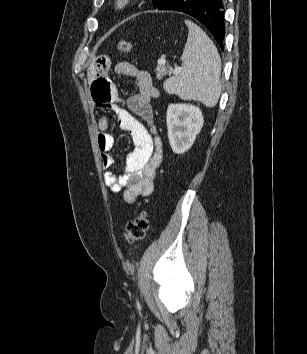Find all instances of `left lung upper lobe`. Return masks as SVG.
Listing matches in <instances>:
<instances>
[{"label":"left lung upper lobe","mask_w":307,"mask_h":354,"mask_svg":"<svg viewBox=\"0 0 307 354\" xmlns=\"http://www.w3.org/2000/svg\"><path fill=\"white\" fill-rule=\"evenodd\" d=\"M153 1V6L155 8H161L163 7L166 3H168L170 0H152Z\"/></svg>","instance_id":"obj_1"}]
</instances>
